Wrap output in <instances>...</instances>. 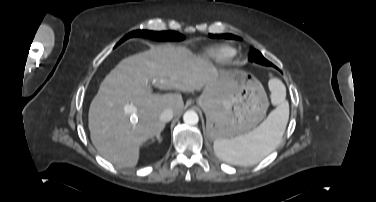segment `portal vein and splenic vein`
I'll use <instances>...</instances> for the list:
<instances>
[{"mask_svg":"<svg viewBox=\"0 0 376 202\" xmlns=\"http://www.w3.org/2000/svg\"><path fill=\"white\" fill-rule=\"evenodd\" d=\"M126 110L131 112V111H134L135 108L132 105H129L126 107Z\"/></svg>","mask_w":376,"mask_h":202,"instance_id":"1","label":"portal vein and splenic vein"}]
</instances>
